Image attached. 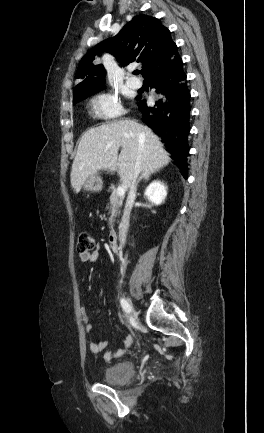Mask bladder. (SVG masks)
I'll return each instance as SVG.
<instances>
[{"label": "bladder", "mask_w": 264, "mask_h": 433, "mask_svg": "<svg viewBox=\"0 0 264 433\" xmlns=\"http://www.w3.org/2000/svg\"><path fill=\"white\" fill-rule=\"evenodd\" d=\"M133 375V365L130 362H123L105 369L102 373V380L109 385H124Z\"/></svg>", "instance_id": "31cf9c89"}]
</instances>
